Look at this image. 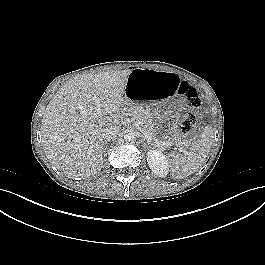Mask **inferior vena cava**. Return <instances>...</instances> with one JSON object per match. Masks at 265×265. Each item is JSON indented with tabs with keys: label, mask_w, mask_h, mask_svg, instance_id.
Here are the masks:
<instances>
[{
	"label": "inferior vena cava",
	"mask_w": 265,
	"mask_h": 265,
	"mask_svg": "<svg viewBox=\"0 0 265 265\" xmlns=\"http://www.w3.org/2000/svg\"><path fill=\"white\" fill-rule=\"evenodd\" d=\"M118 132H119L118 127L113 125L107 126L101 130V137L104 140L114 139L118 135Z\"/></svg>",
	"instance_id": "1"
}]
</instances>
